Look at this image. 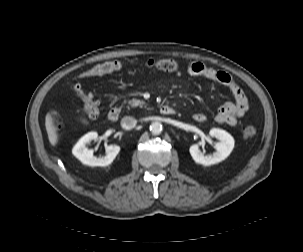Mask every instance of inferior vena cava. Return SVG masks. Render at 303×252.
Masks as SVG:
<instances>
[{
    "instance_id": "1",
    "label": "inferior vena cava",
    "mask_w": 303,
    "mask_h": 252,
    "mask_svg": "<svg viewBox=\"0 0 303 252\" xmlns=\"http://www.w3.org/2000/svg\"><path fill=\"white\" fill-rule=\"evenodd\" d=\"M137 120L131 116H125L121 120V126L126 129L130 130L136 126Z\"/></svg>"
}]
</instances>
